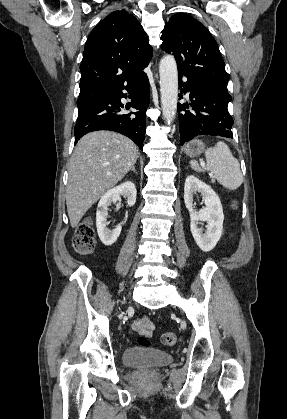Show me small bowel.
<instances>
[{
    "label": "small bowel",
    "mask_w": 287,
    "mask_h": 419,
    "mask_svg": "<svg viewBox=\"0 0 287 419\" xmlns=\"http://www.w3.org/2000/svg\"><path fill=\"white\" fill-rule=\"evenodd\" d=\"M132 328L134 332L149 337L152 334L154 325L147 317H141L133 323Z\"/></svg>",
    "instance_id": "1"
}]
</instances>
